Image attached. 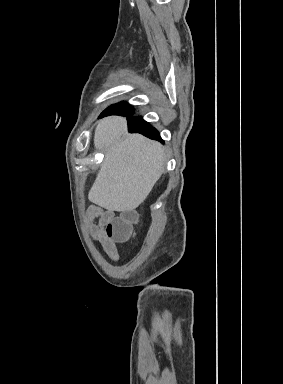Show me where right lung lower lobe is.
<instances>
[{
  "label": "right lung lower lobe",
  "mask_w": 283,
  "mask_h": 384,
  "mask_svg": "<svg viewBox=\"0 0 283 384\" xmlns=\"http://www.w3.org/2000/svg\"><path fill=\"white\" fill-rule=\"evenodd\" d=\"M133 113L132 108L129 107H115L107 108L102 112L100 118L108 115H122L129 116ZM128 130L131 133H141L144 136L163 142L158 131L153 128L149 123L145 122L141 117H128Z\"/></svg>",
  "instance_id": "obj_1"
}]
</instances>
